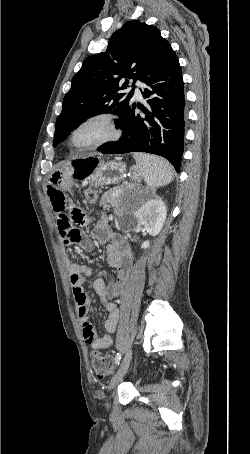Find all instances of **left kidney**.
Masks as SVG:
<instances>
[{"label":"left kidney","mask_w":250,"mask_h":454,"mask_svg":"<svg viewBox=\"0 0 250 454\" xmlns=\"http://www.w3.org/2000/svg\"><path fill=\"white\" fill-rule=\"evenodd\" d=\"M166 216V206L160 197L148 200L135 212L137 223L143 226L151 236H156L160 233ZM149 247V241H144L141 244L142 249H148Z\"/></svg>","instance_id":"5707ae66"}]
</instances>
